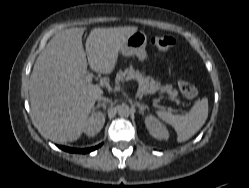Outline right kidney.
I'll return each mask as SVG.
<instances>
[{"label": "right kidney", "instance_id": "right-kidney-1", "mask_svg": "<svg viewBox=\"0 0 249 188\" xmlns=\"http://www.w3.org/2000/svg\"><path fill=\"white\" fill-rule=\"evenodd\" d=\"M105 123V115L101 112H92L87 118L84 133L88 137H93L100 132Z\"/></svg>", "mask_w": 249, "mask_h": 188}]
</instances>
